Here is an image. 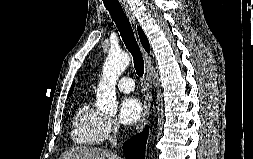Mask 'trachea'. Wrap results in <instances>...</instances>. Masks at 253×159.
Here are the masks:
<instances>
[{
	"label": "trachea",
	"instance_id": "3493384b",
	"mask_svg": "<svg viewBox=\"0 0 253 159\" xmlns=\"http://www.w3.org/2000/svg\"><path fill=\"white\" fill-rule=\"evenodd\" d=\"M104 5L109 11L111 18L116 24L120 35L126 45V48L131 53L134 61V68L139 77L144 74V60L134 36L131 24L126 17L121 4L118 0H104Z\"/></svg>",
	"mask_w": 253,
	"mask_h": 159
}]
</instances>
